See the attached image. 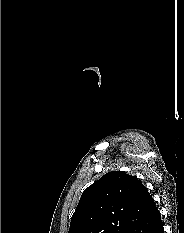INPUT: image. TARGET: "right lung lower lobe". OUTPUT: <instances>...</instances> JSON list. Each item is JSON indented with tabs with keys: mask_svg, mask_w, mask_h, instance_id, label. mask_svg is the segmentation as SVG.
<instances>
[{
	"mask_svg": "<svg viewBox=\"0 0 184 233\" xmlns=\"http://www.w3.org/2000/svg\"><path fill=\"white\" fill-rule=\"evenodd\" d=\"M128 233H164L161 216L157 207Z\"/></svg>",
	"mask_w": 184,
	"mask_h": 233,
	"instance_id": "98d812e1",
	"label": "right lung lower lobe"
}]
</instances>
